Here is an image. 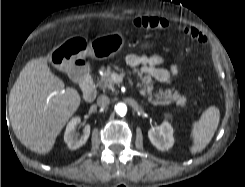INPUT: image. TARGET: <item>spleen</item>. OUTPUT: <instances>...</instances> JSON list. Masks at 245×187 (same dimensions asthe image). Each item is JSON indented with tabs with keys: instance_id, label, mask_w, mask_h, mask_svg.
Returning a JSON list of instances; mask_svg holds the SVG:
<instances>
[{
	"instance_id": "spleen-1",
	"label": "spleen",
	"mask_w": 245,
	"mask_h": 187,
	"mask_svg": "<svg viewBox=\"0 0 245 187\" xmlns=\"http://www.w3.org/2000/svg\"><path fill=\"white\" fill-rule=\"evenodd\" d=\"M220 111L215 106H210L201 115L200 119L193 123L191 136L193 144L191 154L201 152L209 144L218 127Z\"/></svg>"
}]
</instances>
